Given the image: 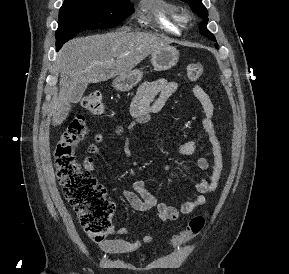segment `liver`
Returning a JSON list of instances; mask_svg holds the SVG:
<instances>
[{"label":"liver","mask_w":289,"mask_h":274,"mask_svg":"<svg viewBox=\"0 0 289 274\" xmlns=\"http://www.w3.org/2000/svg\"><path fill=\"white\" fill-rule=\"evenodd\" d=\"M167 45L166 39L126 30L66 43L58 53L60 91L52 112L53 126L61 125L69 115L72 93L78 84L98 83L127 74L149 54Z\"/></svg>","instance_id":"liver-1"}]
</instances>
